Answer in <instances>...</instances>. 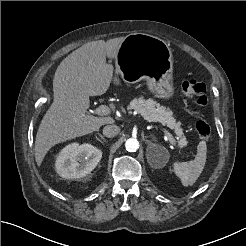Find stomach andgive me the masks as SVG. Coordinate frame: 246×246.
I'll use <instances>...</instances> for the list:
<instances>
[{
    "instance_id": "0dacf381",
    "label": "stomach",
    "mask_w": 246,
    "mask_h": 246,
    "mask_svg": "<svg viewBox=\"0 0 246 246\" xmlns=\"http://www.w3.org/2000/svg\"><path fill=\"white\" fill-rule=\"evenodd\" d=\"M115 64V83L119 81L118 76L127 83L144 79L155 97L173 96V56L164 40L145 33L129 34L118 49Z\"/></svg>"
}]
</instances>
